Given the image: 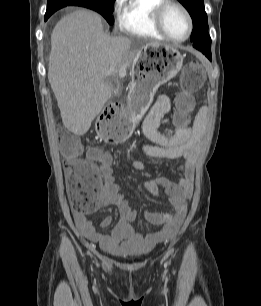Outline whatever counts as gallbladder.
<instances>
[{
  "mask_svg": "<svg viewBox=\"0 0 261 306\" xmlns=\"http://www.w3.org/2000/svg\"><path fill=\"white\" fill-rule=\"evenodd\" d=\"M107 83L110 85L113 94L117 95L118 92H119V88L117 86V83L114 80H110V79L107 80Z\"/></svg>",
  "mask_w": 261,
  "mask_h": 306,
  "instance_id": "obj_1",
  "label": "gallbladder"
}]
</instances>
